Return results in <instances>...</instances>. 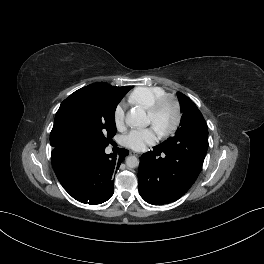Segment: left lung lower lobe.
<instances>
[{
    "label": "left lung lower lobe",
    "instance_id": "1",
    "mask_svg": "<svg viewBox=\"0 0 264 264\" xmlns=\"http://www.w3.org/2000/svg\"><path fill=\"white\" fill-rule=\"evenodd\" d=\"M174 148L157 145L140 158L139 193L153 205L174 202L198 177L208 149V136Z\"/></svg>",
    "mask_w": 264,
    "mask_h": 264
}]
</instances>
